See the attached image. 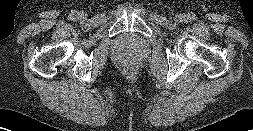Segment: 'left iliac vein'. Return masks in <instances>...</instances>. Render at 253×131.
Instances as JSON below:
<instances>
[{"label":"left iliac vein","instance_id":"1","mask_svg":"<svg viewBox=\"0 0 253 131\" xmlns=\"http://www.w3.org/2000/svg\"><path fill=\"white\" fill-rule=\"evenodd\" d=\"M185 20H186V15H184V14H177L175 16V21L176 22H183Z\"/></svg>","mask_w":253,"mask_h":131}]
</instances>
